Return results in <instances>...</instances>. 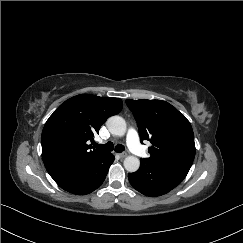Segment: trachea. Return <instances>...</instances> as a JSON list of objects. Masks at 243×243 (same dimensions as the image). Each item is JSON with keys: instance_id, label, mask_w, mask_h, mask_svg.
<instances>
[{"instance_id": "3493384b", "label": "trachea", "mask_w": 243, "mask_h": 243, "mask_svg": "<svg viewBox=\"0 0 243 243\" xmlns=\"http://www.w3.org/2000/svg\"><path fill=\"white\" fill-rule=\"evenodd\" d=\"M94 146H95V148H97V149L105 150V151H113V149H114V150H115L116 152H118V153H121V152L125 149V147H124L123 145H121V144H118V145L114 148V145H113L112 142H108V143H106V144H104V145H101V144H95Z\"/></svg>"}]
</instances>
